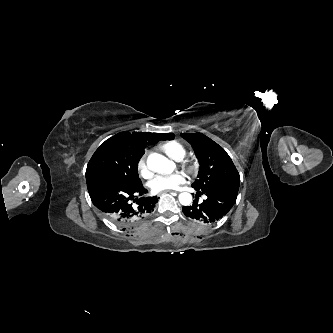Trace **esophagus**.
<instances>
[{"instance_id": "obj_1", "label": "esophagus", "mask_w": 333, "mask_h": 333, "mask_svg": "<svg viewBox=\"0 0 333 333\" xmlns=\"http://www.w3.org/2000/svg\"><path fill=\"white\" fill-rule=\"evenodd\" d=\"M167 192H174V191H171V190H167V191H164V192H161L160 194H163V193H167Z\"/></svg>"}]
</instances>
